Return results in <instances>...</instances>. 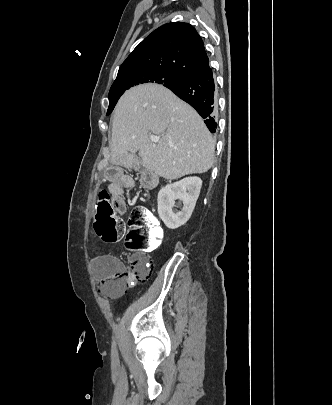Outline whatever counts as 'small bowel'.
Instances as JSON below:
<instances>
[{
    "label": "small bowel",
    "instance_id": "small-bowel-1",
    "mask_svg": "<svg viewBox=\"0 0 332 405\" xmlns=\"http://www.w3.org/2000/svg\"><path fill=\"white\" fill-rule=\"evenodd\" d=\"M108 167L103 169V184L109 186L112 192L109 204L112 206L115 215H127L128 207L124 201L123 190L130 186L131 178L125 174L121 162H110ZM91 264L96 275L102 280L118 271H123L120 260L112 255L95 256L91 259Z\"/></svg>",
    "mask_w": 332,
    "mask_h": 405
}]
</instances>
